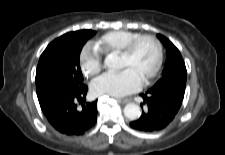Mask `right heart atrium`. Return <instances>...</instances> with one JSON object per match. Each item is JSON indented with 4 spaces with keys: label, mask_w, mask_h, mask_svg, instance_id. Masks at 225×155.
Returning a JSON list of instances; mask_svg holds the SVG:
<instances>
[{
    "label": "right heart atrium",
    "mask_w": 225,
    "mask_h": 155,
    "mask_svg": "<svg viewBox=\"0 0 225 155\" xmlns=\"http://www.w3.org/2000/svg\"><path fill=\"white\" fill-rule=\"evenodd\" d=\"M79 61L82 72L88 77L95 76L102 69L101 53L90 44L82 49Z\"/></svg>",
    "instance_id": "right-heart-atrium-1"
}]
</instances>
